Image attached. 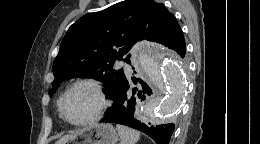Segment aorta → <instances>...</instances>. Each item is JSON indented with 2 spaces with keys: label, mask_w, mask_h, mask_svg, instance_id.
Segmentation results:
<instances>
[{
  "label": "aorta",
  "mask_w": 260,
  "mask_h": 144,
  "mask_svg": "<svg viewBox=\"0 0 260 144\" xmlns=\"http://www.w3.org/2000/svg\"><path fill=\"white\" fill-rule=\"evenodd\" d=\"M138 63L155 87V94L148 99L149 110L141 111L139 118L148 121H164L180 106L185 82L177 56L161 47L143 45Z\"/></svg>",
  "instance_id": "1"
}]
</instances>
